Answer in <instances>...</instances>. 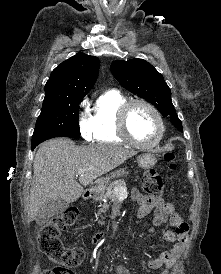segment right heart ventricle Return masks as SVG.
Wrapping results in <instances>:
<instances>
[{
	"mask_svg": "<svg viewBox=\"0 0 221 274\" xmlns=\"http://www.w3.org/2000/svg\"><path fill=\"white\" fill-rule=\"evenodd\" d=\"M128 98L119 90L103 92L96 100L92 116L93 137L99 143L126 144L118 131L117 118L120 107Z\"/></svg>",
	"mask_w": 221,
	"mask_h": 274,
	"instance_id": "1",
	"label": "right heart ventricle"
}]
</instances>
